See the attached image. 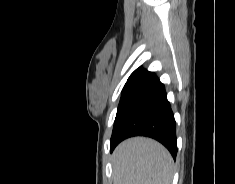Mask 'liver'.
Listing matches in <instances>:
<instances>
[{
    "mask_svg": "<svg viewBox=\"0 0 235 184\" xmlns=\"http://www.w3.org/2000/svg\"><path fill=\"white\" fill-rule=\"evenodd\" d=\"M113 184H172L174 162L151 138H129L112 154Z\"/></svg>",
    "mask_w": 235,
    "mask_h": 184,
    "instance_id": "6515ba94",
    "label": "liver"
}]
</instances>
